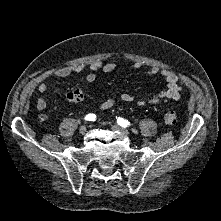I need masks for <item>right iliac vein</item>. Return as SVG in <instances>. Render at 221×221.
<instances>
[{
	"instance_id": "right-iliac-vein-1",
	"label": "right iliac vein",
	"mask_w": 221,
	"mask_h": 221,
	"mask_svg": "<svg viewBox=\"0 0 221 221\" xmlns=\"http://www.w3.org/2000/svg\"><path fill=\"white\" fill-rule=\"evenodd\" d=\"M79 132H80V134H82V135L86 134V132H87L86 126H81L80 129H79Z\"/></svg>"
}]
</instances>
